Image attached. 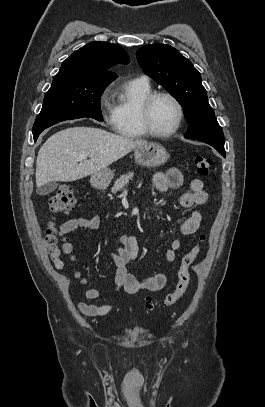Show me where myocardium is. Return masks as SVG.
I'll return each mask as SVG.
<instances>
[{"mask_svg": "<svg viewBox=\"0 0 265 407\" xmlns=\"http://www.w3.org/2000/svg\"><path fill=\"white\" fill-rule=\"evenodd\" d=\"M161 96H165L170 98L176 105L178 109V118L176 121V124L174 127L168 131L161 132L156 130L151 121V109L154 101ZM184 107L181 101L171 92L168 91H156L152 92L150 95H148L145 100L142 102L140 106V111H139V116H140V122L144 130L147 132L148 135L157 137V138H167L172 135H174L181 127L182 122L184 120Z\"/></svg>", "mask_w": 265, "mask_h": 407, "instance_id": "obj_1", "label": "myocardium"}]
</instances>
